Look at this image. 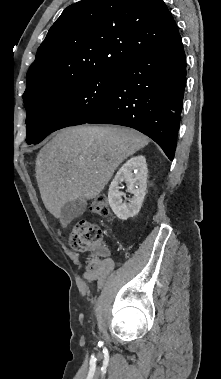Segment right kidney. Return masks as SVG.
I'll return each mask as SVG.
<instances>
[{"instance_id":"obj_1","label":"right kidney","mask_w":221,"mask_h":379,"mask_svg":"<svg viewBox=\"0 0 221 379\" xmlns=\"http://www.w3.org/2000/svg\"><path fill=\"white\" fill-rule=\"evenodd\" d=\"M147 164L143 155L130 158L116 173L109 186L108 202L114 214L121 220L135 216L143 203L147 188ZM125 183L133 196L129 203L123 201L125 193L120 186Z\"/></svg>"}]
</instances>
